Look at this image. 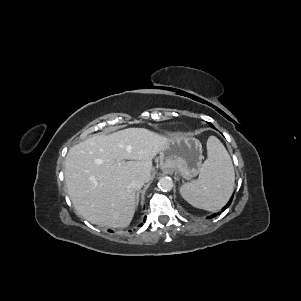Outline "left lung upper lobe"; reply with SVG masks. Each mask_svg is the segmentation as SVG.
<instances>
[{
    "mask_svg": "<svg viewBox=\"0 0 301 301\" xmlns=\"http://www.w3.org/2000/svg\"><path fill=\"white\" fill-rule=\"evenodd\" d=\"M210 125L214 128V126L210 123Z\"/></svg>",
    "mask_w": 301,
    "mask_h": 301,
    "instance_id": "1",
    "label": "left lung upper lobe"
}]
</instances>
